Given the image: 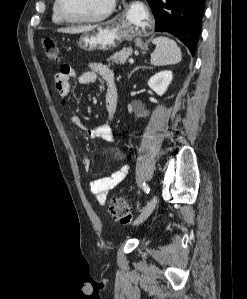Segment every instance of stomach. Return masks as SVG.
<instances>
[{
  "instance_id": "0dacf381",
  "label": "stomach",
  "mask_w": 247,
  "mask_h": 299,
  "mask_svg": "<svg viewBox=\"0 0 247 299\" xmlns=\"http://www.w3.org/2000/svg\"><path fill=\"white\" fill-rule=\"evenodd\" d=\"M126 37V30L117 21L97 25L79 39V47L85 51L110 50L116 48Z\"/></svg>"
}]
</instances>
